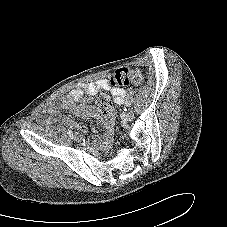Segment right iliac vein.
<instances>
[{"mask_svg": "<svg viewBox=\"0 0 227 227\" xmlns=\"http://www.w3.org/2000/svg\"><path fill=\"white\" fill-rule=\"evenodd\" d=\"M73 139H74L75 141H77V142H81L82 136L79 135V134H75V135L73 136Z\"/></svg>", "mask_w": 227, "mask_h": 227, "instance_id": "1", "label": "right iliac vein"}]
</instances>
